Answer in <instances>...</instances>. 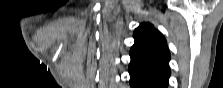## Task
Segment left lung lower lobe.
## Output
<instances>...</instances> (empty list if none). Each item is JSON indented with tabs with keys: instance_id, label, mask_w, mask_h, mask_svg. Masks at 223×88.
Segmentation results:
<instances>
[{
	"instance_id": "left-lung-lower-lobe-1",
	"label": "left lung lower lobe",
	"mask_w": 223,
	"mask_h": 88,
	"mask_svg": "<svg viewBox=\"0 0 223 88\" xmlns=\"http://www.w3.org/2000/svg\"><path fill=\"white\" fill-rule=\"evenodd\" d=\"M132 88H167L170 73L150 65L131 61L129 65Z\"/></svg>"
}]
</instances>
